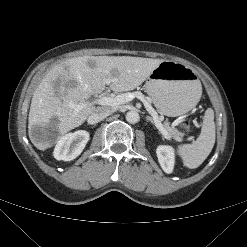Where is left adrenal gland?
I'll list each match as a JSON object with an SVG mask.
<instances>
[{"instance_id":"obj_1","label":"left adrenal gland","mask_w":247,"mask_h":247,"mask_svg":"<svg viewBox=\"0 0 247 247\" xmlns=\"http://www.w3.org/2000/svg\"><path fill=\"white\" fill-rule=\"evenodd\" d=\"M146 120L150 121L152 124H155L153 119L149 115L146 116Z\"/></svg>"}]
</instances>
